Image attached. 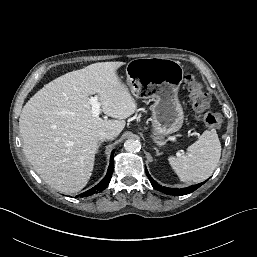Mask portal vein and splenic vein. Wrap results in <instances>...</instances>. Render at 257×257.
<instances>
[{
  "instance_id": "portal-vein-and-splenic-vein-1",
  "label": "portal vein and splenic vein",
  "mask_w": 257,
  "mask_h": 257,
  "mask_svg": "<svg viewBox=\"0 0 257 257\" xmlns=\"http://www.w3.org/2000/svg\"><path fill=\"white\" fill-rule=\"evenodd\" d=\"M91 107H92V114L94 117H99L101 112V103L98 101V97H91L89 99Z\"/></svg>"
}]
</instances>
